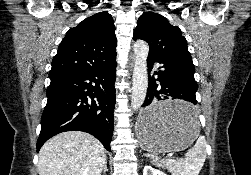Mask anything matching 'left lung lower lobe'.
Returning <instances> with one entry per match:
<instances>
[{
	"label": "left lung lower lobe",
	"mask_w": 251,
	"mask_h": 175,
	"mask_svg": "<svg viewBox=\"0 0 251 175\" xmlns=\"http://www.w3.org/2000/svg\"><path fill=\"white\" fill-rule=\"evenodd\" d=\"M154 62L162 63L164 70L154 72L149 77V88L142 105L140 122L144 126H154L173 122H187L198 116L196 91L198 85L194 79L195 69L182 64L168 62L156 54L148 55V71ZM158 81L159 83H156ZM182 99L190 103L179 106L155 107L154 103L165 99Z\"/></svg>",
	"instance_id": "obj_1"
}]
</instances>
